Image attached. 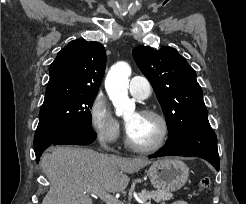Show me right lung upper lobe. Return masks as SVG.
I'll list each match as a JSON object with an SVG mask.
<instances>
[{"label":"right lung upper lobe","instance_id":"right-lung-upper-lobe-1","mask_svg":"<svg viewBox=\"0 0 246 204\" xmlns=\"http://www.w3.org/2000/svg\"><path fill=\"white\" fill-rule=\"evenodd\" d=\"M106 67L104 47L95 41L74 40L50 65L45 100L70 94H97Z\"/></svg>","mask_w":246,"mask_h":204}]
</instances>
